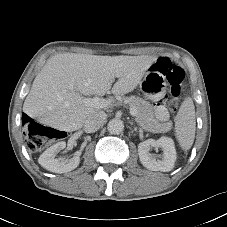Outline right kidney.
<instances>
[{
  "label": "right kidney",
  "instance_id": "ca27d5eb",
  "mask_svg": "<svg viewBox=\"0 0 227 227\" xmlns=\"http://www.w3.org/2000/svg\"><path fill=\"white\" fill-rule=\"evenodd\" d=\"M65 147L66 143L64 141L52 145L40 155L39 164L54 173H66L74 170L80 163L79 155H75L71 159L55 158Z\"/></svg>",
  "mask_w": 227,
  "mask_h": 227
}]
</instances>
